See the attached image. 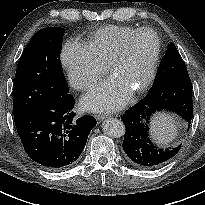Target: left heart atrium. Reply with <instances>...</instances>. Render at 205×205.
<instances>
[{
    "label": "left heart atrium",
    "mask_w": 205,
    "mask_h": 205,
    "mask_svg": "<svg viewBox=\"0 0 205 205\" xmlns=\"http://www.w3.org/2000/svg\"><path fill=\"white\" fill-rule=\"evenodd\" d=\"M131 92L118 78L111 76L83 97L82 106L92 111H114L129 100Z\"/></svg>",
    "instance_id": "left-heart-atrium-1"
}]
</instances>
